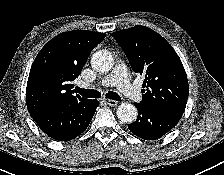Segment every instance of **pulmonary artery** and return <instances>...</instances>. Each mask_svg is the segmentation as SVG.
<instances>
[{
  "instance_id": "obj_1",
  "label": "pulmonary artery",
  "mask_w": 224,
  "mask_h": 175,
  "mask_svg": "<svg viewBox=\"0 0 224 175\" xmlns=\"http://www.w3.org/2000/svg\"><path fill=\"white\" fill-rule=\"evenodd\" d=\"M95 85H101L104 87L116 86L127 98L137 102L142 99L140 90L130 82L127 68L124 64H118L115 66L109 75L97 82ZM90 86L92 85L85 82L80 83V87L82 88H88Z\"/></svg>"
}]
</instances>
